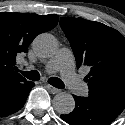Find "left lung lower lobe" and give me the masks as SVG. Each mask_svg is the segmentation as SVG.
I'll return each instance as SVG.
<instances>
[{
  "mask_svg": "<svg viewBox=\"0 0 125 125\" xmlns=\"http://www.w3.org/2000/svg\"><path fill=\"white\" fill-rule=\"evenodd\" d=\"M73 97L74 110L61 115L70 125H110L125 108V99L117 96Z\"/></svg>",
  "mask_w": 125,
  "mask_h": 125,
  "instance_id": "0a47b994",
  "label": "left lung lower lobe"
}]
</instances>
